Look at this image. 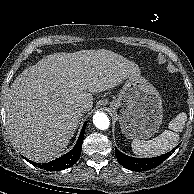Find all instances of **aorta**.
I'll return each instance as SVG.
<instances>
[{
	"label": "aorta",
	"mask_w": 194,
	"mask_h": 194,
	"mask_svg": "<svg viewBox=\"0 0 194 194\" xmlns=\"http://www.w3.org/2000/svg\"><path fill=\"white\" fill-rule=\"evenodd\" d=\"M93 123L100 130H106L110 125L108 116L103 112H97L94 114Z\"/></svg>",
	"instance_id": "762f6f07"
}]
</instances>
